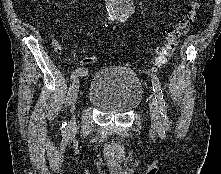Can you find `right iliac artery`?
I'll use <instances>...</instances> for the list:
<instances>
[{
    "instance_id": "1",
    "label": "right iliac artery",
    "mask_w": 221,
    "mask_h": 174,
    "mask_svg": "<svg viewBox=\"0 0 221 174\" xmlns=\"http://www.w3.org/2000/svg\"><path fill=\"white\" fill-rule=\"evenodd\" d=\"M79 75H82V76H86L87 75V70L85 68H78L76 69L73 73H72V76L71 78H74L76 76H79ZM66 124H63V127H65Z\"/></svg>"
}]
</instances>
